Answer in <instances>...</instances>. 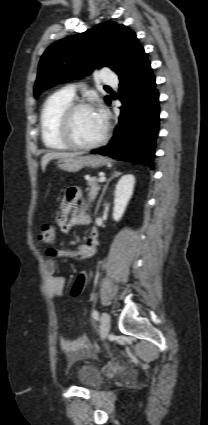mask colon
Instances as JSON below:
<instances>
[{
    "label": "colon",
    "mask_w": 208,
    "mask_h": 425,
    "mask_svg": "<svg viewBox=\"0 0 208 425\" xmlns=\"http://www.w3.org/2000/svg\"><path fill=\"white\" fill-rule=\"evenodd\" d=\"M39 240L45 245H53L56 242V230L52 225L46 224L41 228ZM92 278L91 273L79 274L72 286L71 294L75 297L80 296L87 288Z\"/></svg>",
    "instance_id": "colon-1"
}]
</instances>
